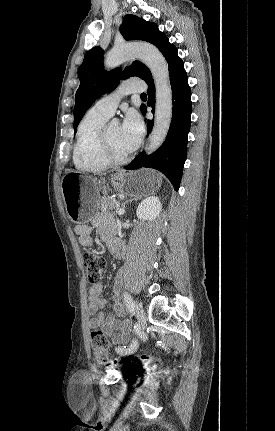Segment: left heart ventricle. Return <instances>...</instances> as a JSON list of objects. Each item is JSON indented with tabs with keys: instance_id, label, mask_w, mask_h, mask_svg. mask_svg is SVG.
<instances>
[{
	"instance_id": "obj_1",
	"label": "left heart ventricle",
	"mask_w": 275,
	"mask_h": 431,
	"mask_svg": "<svg viewBox=\"0 0 275 431\" xmlns=\"http://www.w3.org/2000/svg\"><path fill=\"white\" fill-rule=\"evenodd\" d=\"M107 138L116 155L124 156L129 153L121 142V126L119 124H111L108 127Z\"/></svg>"
}]
</instances>
